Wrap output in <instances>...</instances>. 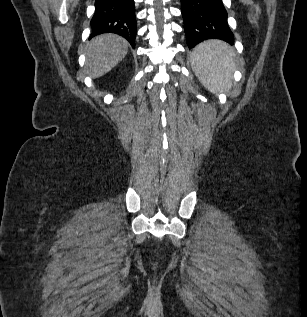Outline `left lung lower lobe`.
<instances>
[{"instance_id":"left-lung-lower-lobe-1","label":"left lung lower lobe","mask_w":307,"mask_h":317,"mask_svg":"<svg viewBox=\"0 0 307 317\" xmlns=\"http://www.w3.org/2000/svg\"><path fill=\"white\" fill-rule=\"evenodd\" d=\"M181 12L190 49L207 39H220L234 44L222 0H181Z\"/></svg>"}]
</instances>
